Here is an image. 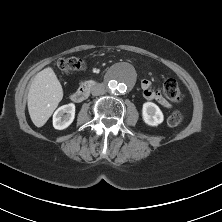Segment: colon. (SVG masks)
Here are the masks:
<instances>
[{
  "instance_id": "obj_1",
  "label": "colon",
  "mask_w": 222,
  "mask_h": 222,
  "mask_svg": "<svg viewBox=\"0 0 222 222\" xmlns=\"http://www.w3.org/2000/svg\"><path fill=\"white\" fill-rule=\"evenodd\" d=\"M84 61L76 58H63L57 61V67L66 73L81 71L84 68ZM163 95L171 102H178L182 99V93L178 83L173 79H167L163 84ZM183 119L181 112H173L167 119V125L170 127L178 126Z\"/></svg>"
}]
</instances>
